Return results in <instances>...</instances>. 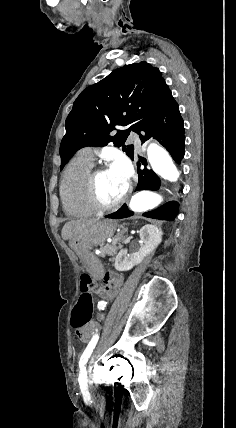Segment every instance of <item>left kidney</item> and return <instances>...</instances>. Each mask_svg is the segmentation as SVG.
Masks as SVG:
<instances>
[{
    "mask_svg": "<svg viewBox=\"0 0 236 428\" xmlns=\"http://www.w3.org/2000/svg\"><path fill=\"white\" fill-rule=\"evenodd\" d=\"M161 230L157 226H143L140 230V238L143 242L139 252L135 254H126V250H120L118 256L115 258V270L118 272H127V270H132L134 266H137L139 262H142L148 254H151L155 250L156 246L160 244L162 240Z\"/></svg>",
    "mask_w": 236,
    "mask_h": 428,
    "instance_id": "5707ae66",
    "label": "left kidney"
}]
</instances>
